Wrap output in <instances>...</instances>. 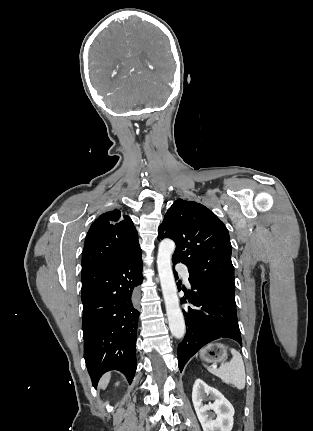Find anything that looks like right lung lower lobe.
Returning <instances> with one entry per match:
<instances>
[{"label": "right lung lower lobe", "mask_w": 313, "mask_h": 431, "mask_svg": "<svg viewBox=\"0 0 313 431\" xmlns=\"http://www.w3.org/2000/svg\"><path fill=\"white\" fill-rule=\"evenodd\" d=\"M84 358L93 386L107 371L132 381L136 371L139 312L135 288L142 283L141 253L103 266L82 269Z\"/></svg>", "instance_id": "1"}]
</instances>
